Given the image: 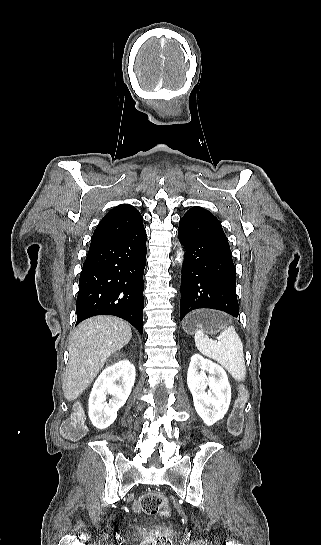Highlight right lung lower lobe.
I'll return each mask as SVG.
<instances>
[{
  "label": "right lung lower lobe",
  "instance_id": "right-lung-lower-lobe-1",
  "mask_svg": "<svg viewBox=\"0 0 321 545\" xmlns=\"http://www.w3.org/2000/svg\"><path fill=\"white\" fill-rule=\"evenodd\" d=\"M146 252L144 226L90 246L79 279L76 325L108 314L127 320L143 333Z\"/></svg>",
  "mask_w": 321,
  "mask_h": 545
}]
</instances>
